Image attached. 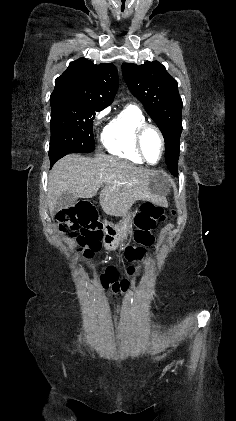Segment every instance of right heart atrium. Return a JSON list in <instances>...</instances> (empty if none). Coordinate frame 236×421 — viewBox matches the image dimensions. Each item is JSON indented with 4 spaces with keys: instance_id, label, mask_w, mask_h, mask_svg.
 Returning <instances> with one entry per match:
<instances>
[{
    "instance_id": "1",
    "label": "right heart atrium",
    "mask_w": 236,
    "mask_h": 421,
    "mask_svg": "<svg viewBox=\"0 0 236 421\" xmlns=\"http://www.w3.org/2000/svg\"><path fill=\"white\" fill-rule=\"evenodd\" d=\"M103 115H104L103 113L98 114L96 117L97 121H99L103 117Z\"/></svg>"
}]
</instances>
